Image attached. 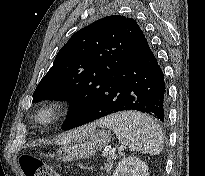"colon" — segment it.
Instances as JSON below:
<instances>
[{
    "mask_svg": "<svg viewBox=\"0 0 205 176\" xmlns=\"http://www.w3.org/2000/svg\"><path fill=\"white\" fill-rule=\"evenodd\" d=\"M19 166L25 176H58L51 168L32 155H22L19 158Z\"/></svg>",
    "mask_w": 205,
    "mask_h": 176,
    "instance_id": "5ec220e1",
    "label": "colon"
}]
</instances>
